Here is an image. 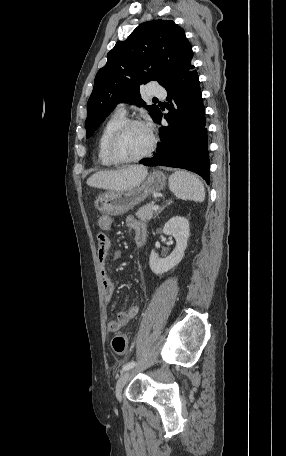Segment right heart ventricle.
Returning a JSON list of instances; mask_svg holds the SVG:
<instances>
[{
    "label": "right heart ventricle",
    "instance_id": "1",
    "mask_svg": "<svg viewBox=\"0 0 286 456\" xmlns=\"http://www.w3.org/2000/svg\"><path fill=\"white\" fill-rule=\"evenodd\" d=\"M125 120V113L115 111L104 123L97 141V158L104 166H114L115 163L107 153L108 140L118 125Z\"/></svg>",
    "mask_w": 286,
    "mask_h": 456
}]
</instances>
